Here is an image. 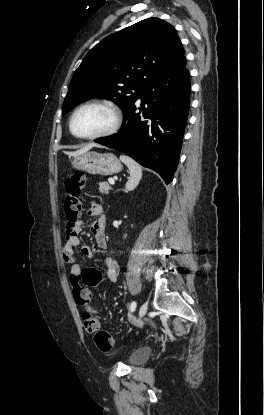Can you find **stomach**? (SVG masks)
Wrapping results in <instances>:
<instances>
[{
	"mask_svg": "<svg viewBox=\"0 0 264 415\" xmlns=\"http://www.w3.org/2000/svg\"><path fill=\"white\" fill-rule=\"evenodd\" d=\"M74 168L83 170L89 174L102 176L113 175L122 170V164L112 153H97L88 151L74 156L72 161Z\"/></svg>",
	"mask_w": 264,
	"mask_h": 415,
	"instance_id": "stomach-1",
	"label": "stomach"
}]
</instances>
